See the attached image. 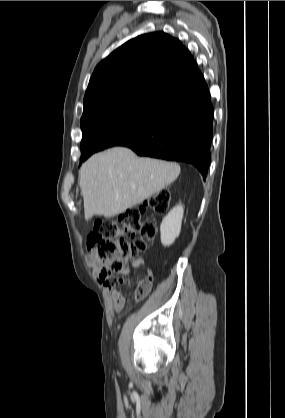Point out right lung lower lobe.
Returning <instances> with one entry per match:
<instances>
[{
  "mask_svg": "<svg viewBox=\"0 0 285 418\" xmlns=\"http://www.w3.org/2000/svg\"><path fill=\"white\" fill-rule=\"evenodd\" d=\"M213 119L211 95L205 84L117 146L131 148L140 156L190 163L205 179L211 160Z\"/></svg>",
  "mask_w": 285,
  "mask_h": 418,
  "instance_id": "right-lung-lower-lobe-1",
  "label": "right lung lower lobe"
}]
</instances>
